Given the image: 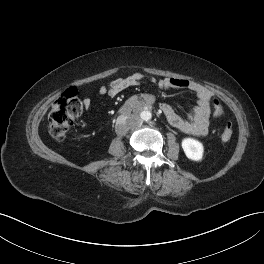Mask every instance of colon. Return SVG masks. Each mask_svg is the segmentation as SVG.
Returning a JSON list of instances; mask_svg holds the SVG:
<instances>
[{
	"label": "colon",
	"mask_w": 264,
	"mask_h": 264,
	"mask_svg": "<svg viewBox=\"0 0 264 264\" xmlns=\"http://www.w3.org/2000/svg\"><path fill=\"white\" fill-rule=\"evenodd\" d=\"M212 116L218 118L223 113L220 101L212 97ZM82 106L75 89L70 88L63 92L53 103L48 116V127L51 136L57 141H63L75 119L81 114ZM233 135V124L227 122L222 131L223 141H229Z\"/></svg>",
	"instance_id": "obj_1"
}]
</instances>
